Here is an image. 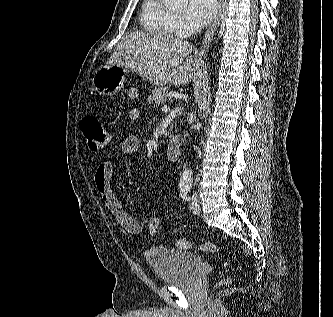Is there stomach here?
<instances>
[{"mask_svg": "<svg viewBox=\"0 0 333 317\" xmlns=\"http://www.w3.org/2000/svg\"><path fill=\"white\" fill-rule=\"evenodd\" d=\"M127 69L120 65H104L99 68L93 78V88L101 95H114L123 87ZM131 98L138 95V90L131 87L128 90Z\"/></svg>", "mask_w": 333, "mask_h": 317, "instance_id": "stomach-1", "label": "stomach"}]
</instances>
